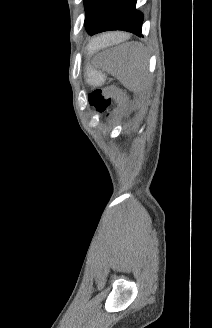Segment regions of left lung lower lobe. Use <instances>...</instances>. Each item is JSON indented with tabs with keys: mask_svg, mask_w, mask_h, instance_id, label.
Wrapping results in <instances>:
<instances>
[{
	"mask_svg": "<svg viewBox=\"0 0 212 328\" xmlns=\"http://www.w3.org/2000/svg\"><path fill=\"white\" fill-rule=\"evenodd\" d=\"M137 0H107L101 9L90 36L110 30H123L137 36L141 34L143 14L136 10Z\"/></svg>",
	"mask_w": 212,
	"mask_h": 328,
	"instance_id": "obj_1",
	"label": "left lung lower lobe"
}]
</instances>
